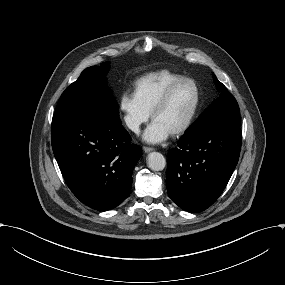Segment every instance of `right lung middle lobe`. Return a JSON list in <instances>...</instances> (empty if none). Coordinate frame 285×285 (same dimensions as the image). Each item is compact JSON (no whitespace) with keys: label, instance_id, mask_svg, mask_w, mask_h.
<instances>
[{"label":"right lung middle lobe","instance_id":"obj_1","mask_svg":"<svg viewBox=\"0 0 285 285\" xmlns=\"http://www.w3.org/2000/svg\"><path fill=\"white\" fill-rule=\"evenodd\" d=\"M109 68L110 62L86 68L62 93L55 113L88 111L119 115L117 102L107 86Z\"/></svg>","mask_w":285,"mask_h":285}]
</instances>
